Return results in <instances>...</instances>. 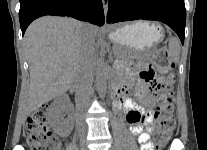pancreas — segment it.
I'll list each match as a JSON object with an SVG mask.
<instances>
[{
  "label": "pancreas",
  "mask_w": 207,
  "mask_h": 150,
  "mask_svg": "<svg viewBox=\"0 0 207 150\" xmlns=\"http://www.w3.org/2000/svg\"><path fill=\"white\" fill-rule=\"evenodd\" d=\"M117 52L119 53L120 52V50L119 49H117ZM143 58V56L142 55H137L136 57H135V59H142ZM122 60V59H121Z\"/></svg>",
  "instance_id": "1"
}]
</instances>
